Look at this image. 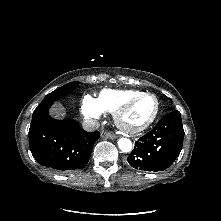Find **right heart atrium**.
Segmentation results:
<instances>
[{"label":"right heart atrium","instance_id":"right-heart-atrium-1","mask_svg":"<svg viewBox=\"0 0 221 221\" xmlns=\"http://www.w3.org/2000/svg\"><path fill=\"white\" fill-rule=\"evenodd\" d=\"M81 112L87 119L90 120L99 119L103 113V111L98 106L96 99H94L90 95H85L83 97L81 104Z\"/></svg>","mask_w":221,"mask_h":221}]
</instances>
